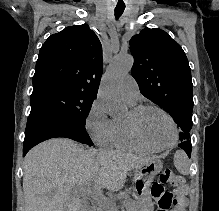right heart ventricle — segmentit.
I'll list each match as a JSON object with an SVG mask.
<instances>
[{"label": "right heart ventricle", "mask_w": 219, "mask_h": 211, "mask_svg": "<svg viewBox=\"0 0 219 211\" xmlns=\"http://www.w3.org/2000/svg\"><path fill=\"white\" fill-rule=\"evenodd\" d=\"M134 106L135 104H130ZM115 131L112 144L117 148L135 152H151L152 150L135 140L130 133L125 119H114Z\"/></svg>", "instance_id": "obj_1"}]
</instances>
